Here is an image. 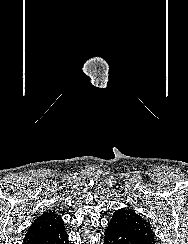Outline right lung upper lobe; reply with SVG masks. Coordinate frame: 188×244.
<instances>
[{"instance_id": "obj_1", "label": "right lung upper lobe", "mask_w": 188, "mask_h": 244, "mask_svg": "<svg viewBox=\"0 0 188 244\" xmlns=\"http://www.w3.org/2000/svg\"><path fill=\"white\" fill-rule=\"evenodd\" d=\"M62 226H64V222L55 211H49V213L45 212L37 217L29 226L23 244L37 236Z\"/></svg>"}]
</instances>
